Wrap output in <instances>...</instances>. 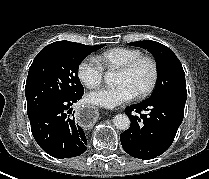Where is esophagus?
Returning <instances> with one entry per match:
<instances>
[{"label": "esophagus", "instance_id": "obj_1", "mask_svg": "<svg viewBox=\"0 0 209 179\" xmlns=\"http://www.w3.org/2000/svg\"><path fill=\"white\" fill-rule=\"evenodd\" d=\"M75 119L81 127L89 128L97 122L98 114L92 106H81L76 111Z\"/></svg>", "mask_w": 209, "mask_h": 179}]
</instances>
